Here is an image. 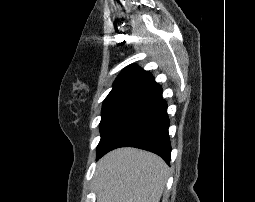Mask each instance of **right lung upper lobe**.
I'll list each match as a JSON object with an SVG mask.
<instances>
[{
    "instance_id": "1",
    "label": "right lung upper lobe",
    "mask_w": 255,
    "mask_h": 202,
    "mask_svg": "<svg viewBox=\"0 0 255 202\" xmlns=\"http://www.w3.org/2000/svg\"><path fill=\"white\" fill-rule=\"evenodd\" d=\"M162 99V88L151 73L129 65L117 77L113 89L103 102L102 114L115 112L138 113Z\"/></svg>"
}]
</instances>
